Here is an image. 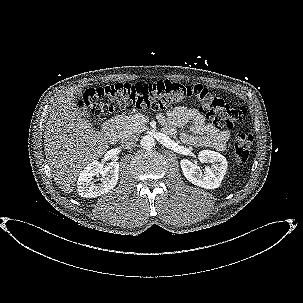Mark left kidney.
<instances>
[{
    "label": "left kidney",
    "instance_id": "obj_1",
    "mask_svg": "<svg viewBox=\"0 0 303 303\" xmlns=\"http://www.w3.org/2000/svg\"><path fill=\"white\" fill-rule=\"evenodd\" d=\"M202 163H210L202 172L200 167L193 162L183 159L180 162L182 172L186 179L194 185L205 189L218 188L227 171V160L218 152L202 150L198 155Z\"/></svg>",
    "mask_w": 303,
    "mask_h": 303
}]
</instances>
